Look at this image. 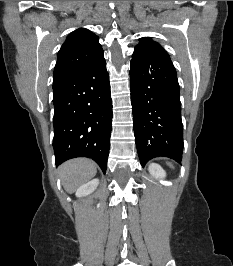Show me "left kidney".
Instances as JSON below:
<instances>
[{
	"mask_svg": "<svg viewBox=\"0 0 233 266\" xmlns=\"http://www.w3.org/2000/svg\"><path fill=\"white\" fill-rule=\"evenodd\" d=\"M149 173L155 178H165V171L157 164L152 163L149 166Z\"/></svg>",
	"mask_w": 233,
	"mask_h": 266,
	"instance_id": "left-kidney-1",
	"label": "left kidney"
}]
</instances>
